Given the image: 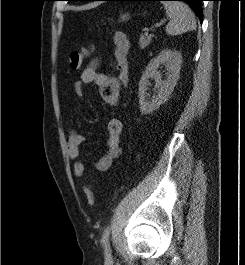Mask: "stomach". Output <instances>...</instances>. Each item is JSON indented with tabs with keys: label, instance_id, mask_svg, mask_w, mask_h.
Masks as SVG:
<instances>
[{
	"label": "stomach",
	"instance_id": "obj_1",
	"mask_svg": "<svg viewBox=\"0 0 245 265\" xmlns=\"http://www.w3.org/2000/svg\"><path fill=\"white\" fill-rule=\"evenodd\" d=\"M128 18H129V14H124V15L121 17V19H122L123 21L127 20Z\"/></svg>",
	"mask_w": 245,
	"mask_h": 265
}]
</instances>
